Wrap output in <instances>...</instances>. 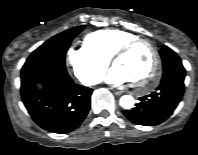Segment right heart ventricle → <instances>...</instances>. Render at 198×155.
Segmentation results:
<instances>
[{
	"label": "right heart ventricle",
	"instance_id": "1",
	"mask_svg": "<svg viewBox=\"0 0 198 155\" xmlns=\"http://www.w3.org/2000/svg\"><path fill=\"white\" fill-rule=\"evenodd\" d=\"M137 36L131 32L108 28L88 34L85 45L105 59H110L117 48Z\"/></svg>",
	"mask_w": 198,
	"mask_h": 155
}]
</instances>
